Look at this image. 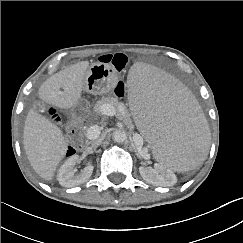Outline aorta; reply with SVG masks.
Wrapping results in <instances>:
<instances>
[{
  "label": "aorta",
  "instance_id": "1",
  "mask_svg": "<svg viewBox=\"0 0 243 243\" xmlns=\"http://www.w3.org/2000/svg\"><path fill=\"white\" fill-rule=\"evenodd\" d=\"M112 139L116 142V143H124L127 141L128 136L126 131L119 129L113 132L112 134Z\"/></svg>",
  "mask_w": 243,
  "mask_h": 243
}]
</instances>
